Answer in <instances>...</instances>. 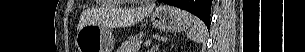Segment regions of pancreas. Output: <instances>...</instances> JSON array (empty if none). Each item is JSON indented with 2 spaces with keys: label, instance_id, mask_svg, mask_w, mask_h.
Masks as SVG:
<instances>
[{
  "label": "pancreas",
  "instance_id": "obj_1",
  "mask_svg": "<svg viewBox=\"0 0 305 52\" xmlns=\"http://www.w3.org/2000/svg\"><path fill=\"white\" fill-rule=\"evenodd\" d=\"M142 40L139 36L129 37L120 48V52H139Z\"/></svg>",
  "mask_w": 305,
  "mask_h": 52
}]
</instances>
